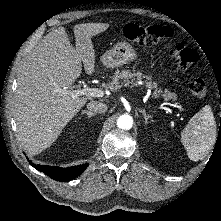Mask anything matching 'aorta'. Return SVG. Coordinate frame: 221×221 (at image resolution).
I'll use <instances>...</instances> for the list:
<instances>
[{
    "label": "aorta",
    "mask_w": 221,
    "mask_h": 221,
    "mask_svg": "<svg viewBox=\"0 0 221 221\" xmlns=\"http://www.w3.org/2000/svg\"><path fill=\"white\" fill-rule=\"evenodd\" d=\"M117 126L124 130L131 129L133 126V118L128 114L121 115L117 120Z\"/></svg>",
    "instance_id": "obj_1"
}]
</instances>
